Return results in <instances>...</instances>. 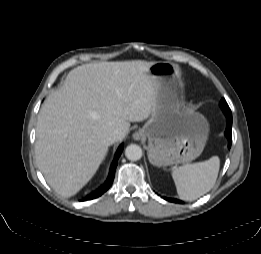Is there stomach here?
I'll use <instances>...</instances> for the list:
<instances>
[{"label":"stomach","mask_w":261,"mask_h":254,"mask_svg":"<svg viewBox=\"0 0 261 254\" xmlns=\"http://www.w3.org/2000/svg\"><path fill=\"white\" fill-rule=\"evenodd\" d=\"M149 72L157 82L155 105L149 121L139 131L148 141L149 161L158 167L191 162L205 147L208 122L179 101L182 85L177 65L155 62Z\"/></svg>","instance_id":"1"}]
</instances>
